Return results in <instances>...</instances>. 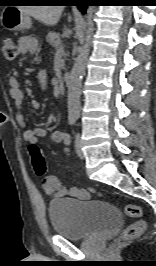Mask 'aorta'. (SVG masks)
Segmentation results:
<instances>
[{
    "label": "aorta",
    "mask_w": 156,
    "mask_h": 266,
    "mask_svg": "<svg viewBox=\"0 0 156 266\" xmlns=\"http://www.w3.org/2000/svg\"><path fill=\"white\" fill-rule=\"evenodd\" d=\"M94 8L89 7L87 11L86 35L84 44L75 60L68 81V113L69 116L78 117L80 114V89L82 85V77L85 73L86 62L90 52L91 37L94 31L93 24Z\"/></svg>",
    "instance_id": "762f6f07"
}]
</instances>
